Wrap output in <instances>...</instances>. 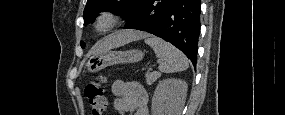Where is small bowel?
Here are the masks:
<instances>
[{"label":"small bowel","instance_id":"1","mask_svg":"<svg viewBox=\"0 0 285 115\" xmlns=\"http://www.w3.org/2000/svg\"><path fill=\"white\" fill-rule=\"evenodd\" d=\"M112 91L116 95L114 108L119 114L149 115V97L139 83L118 79L113 82Z\"/></svg>","mask_w":285,"mask_h":115}]
</instances>
